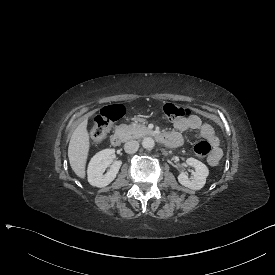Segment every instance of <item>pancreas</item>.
<instances>
[{
	"label": "pancreas",
	"mask_w": 275,
	"mask_h": 275,
	"mask_svg": "<svg viewBox=\"0 0 275 275\" xmlns=\"http://www.w3.org/2000/svg\"><path fill=\"white\" fill-rule=\"evenodd\" d=\"M115 134H117L122 142H126L132 139H140L145 136L152 135V131L146 126L131 123L120 124L115 128Z\"/></svg>",
	"instance_id": "pancreas-1"
}]
</instances>
